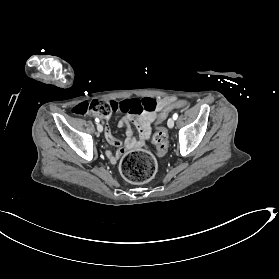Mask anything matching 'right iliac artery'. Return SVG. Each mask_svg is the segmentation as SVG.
Listing matches in <instances>:
<instances>
[{
    "instance_id": "82829eb1",
    "label": "right iliac artery",
    "mask_w": 279,
    "mask_h": 279,
    "mask_svg": "<svg viewBox=\"0 0 279 279\" xmlns=\"http://www.w3.org/2000/svg\"><path fill=\"white\" fill-rule=\"evenodd\" d=\"M95 121H96V123H99V119L98 118H96Z\"/></svg>"
}]
</instances>
